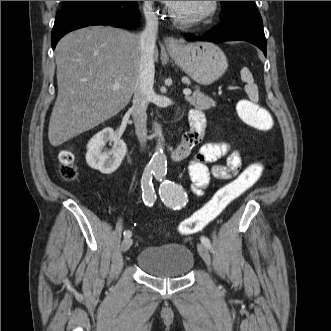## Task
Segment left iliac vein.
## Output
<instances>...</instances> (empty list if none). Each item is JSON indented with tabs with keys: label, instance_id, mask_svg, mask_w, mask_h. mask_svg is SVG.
I'll return each mask as SVG.
<instances>
[{
	"label": "left iliac vein",
	"instance_id": "4c4485c4",
	"mask_svg": "<svg viewBox=\"0 0 331 331\" xmlns=\"http://www.w3.org/2000/svg\"><path fill=\"white\" fill-rule=\"evenodd\" d=\"M197 249H198V252H199L200 256L202 257V259L206 263L208 269L210 270L211 258H210L207 247L203 243H199L197 245Z\"/></svg>",
	"mask_w": 331,
	"mask_h": 331
}]
</instances>
